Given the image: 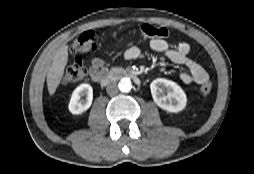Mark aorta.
Returning a JSON list of instances; mask_svg holds the SVG:
<instances>
[{"label": "aorta", "instance_id": "obj_1", "mask_svg": "<svg viewBox=\"0 0 254 174\" xmlns=\"http://www.w3.org/2000/svg\"><path fill=\"white\" fill-rule=\"evenodd\" d=\"M119 90L121 92L127 93L131 90L132 85L129 78H122L118 84Z\"/></svg>", "mask_w": 254, "mask_h": 174}]
</instances>
